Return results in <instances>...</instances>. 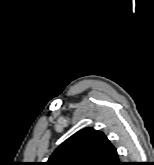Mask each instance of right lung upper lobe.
<instances>
[{
    "instance_id": "right-lung-upper-lobe-1",
    "label": "right lung upper lobe",
    "mask_w": 154,
    "mask_h": 165,
    "mask_svg": "<svg viewBox=\"0 0 154 165\" xmlns=\"http://www.w3.org/2000/svg\"><path fill=\"white\" fill-rule=\"evenodd\" d=\"M117 159L116 149L102 132L85 128L65 140L46 165H113Z\"/></svg>"
}]
</instances>
